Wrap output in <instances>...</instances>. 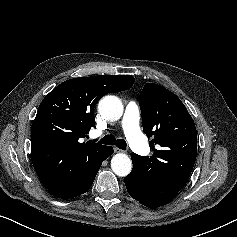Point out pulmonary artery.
Instances as JSON below:
<instances>
[{
	"mask_svg": "<svg viewBox=\"0 0 237 237\" xmlns=\"http://www.w3.org/2000/svg\"><path fill=\"white\" fill-rule=\"evenodd\" d=\"M140 117L141 113L138 104L133 100L129 101L126 105L122 120L123 130L129 144L135 152L145 156L149 152V147L142 139L139 128Z\"/></svg>",
	"mask_w": 237,
	"mask_h": 237,
	"instance_id": "e3ab8cb5",
	"label": "pulmonary artery"
}]
</instances>
